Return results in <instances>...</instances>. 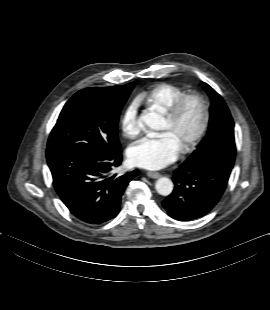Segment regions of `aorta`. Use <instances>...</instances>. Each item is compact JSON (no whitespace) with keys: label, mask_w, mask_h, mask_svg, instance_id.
Segmentation results:
<instances>
[{"label":"aorta","mask_w":270,"mask_h":310,"mask_svg":"<svg viewBox=\"0 0 270 310\" xmlns=\"http://www.w3.org/2000/svg\"><path fill=\"white\" fill-rule=\"evenodd\" d=\"M141 120L153 130H161L164 124V118L155 112H149L141 117ZM156 191L162 196H168L173 191V182L166 177H161L156 181Z\"/></svg>","instance_id":"obj_1"}]
</instances>
